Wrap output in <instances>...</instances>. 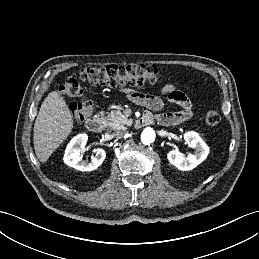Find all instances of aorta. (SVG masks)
I'll return each instance as SVG.
<instances>
[{"instance_id":"1","label":"aorta","mask_w":259,"mask_h":259,"mask_svg":"<svg viewBox=\"0 0 259 259\" xmlns=\"http://www.w3.org/2000/svg\"><path fill=\"white\" fill-rule=\"evenodd\" d=\"M155 136V131L152 128L147 127L141 133V142L145 145L151 144L154 142Z\"/></svg>"}]
</instances>
